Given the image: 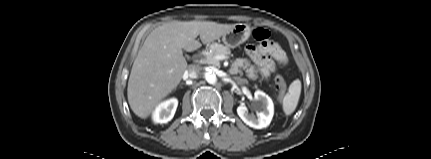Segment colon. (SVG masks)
Listing matches in <instances>:
<instances>
[{"mask_svg":"<svg viewBox=\"0 0 431 159\" xmlns=\"http://www.w3.org/2000/svg\"><path fill=\"white\" fill-rule=\"evenodd\" d=\"M253 37L255 40L262 44H269L271 42L270 33L268 30L263 28H257L253 31ZM275 86L278 92L279 99H282L286 92V81L282 76L275 78Z\"/></svg>","mask_w":431,"mask_h":159,"instance_id":"5ec220e1","label":"colon"}]
</instances>
